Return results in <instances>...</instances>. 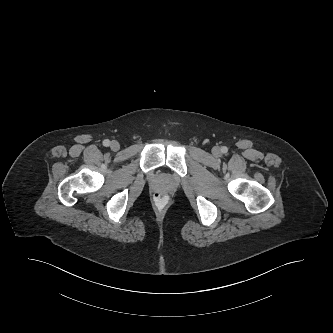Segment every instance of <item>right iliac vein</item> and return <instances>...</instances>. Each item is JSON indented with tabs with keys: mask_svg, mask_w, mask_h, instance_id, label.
<instances>
[{
	"mask_svg": "<svg viewBox=\"0 0 333 333\" xmlns=\"http://www.w3.org/2000/svg\"><path fill=\"white\" fill-rule=\"evenodd\" d=\"M110 148L113 151H118L119 148H120V144L117 141L114 140L110 143Z\"/></svg>",
	"mask_w": 333,
	"mask_h": 333,
	"instance_id": "1",
	"label": "right iliac vein"
}]
</instances>
